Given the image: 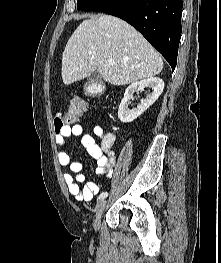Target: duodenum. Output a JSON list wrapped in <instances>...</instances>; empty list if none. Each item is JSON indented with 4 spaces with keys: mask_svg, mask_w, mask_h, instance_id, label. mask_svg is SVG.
<instances>
[{
    "mask_svg": "<svg viewBox=\"0 0 221 263\" xmlns=\"http://www.w3.org/2000/svg\"><path fill=\"white\" fill-rule=\"evenodd\" d=\"M94 91H95L96 93H98V92H100V88H99V87H95V88H94Z\"/></svg>",
    "mask_w": 221,
    "mask_h": 263,
    "instance_id": "duodenum-1",
    "label": "duodenum"
}]
</instances>
